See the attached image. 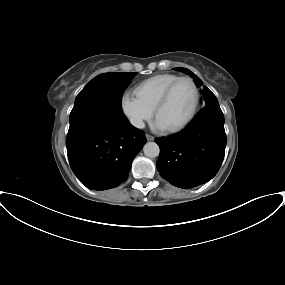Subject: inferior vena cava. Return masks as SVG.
I'll use <instances>...</instances> for the list:
<instances>
[{
	"label": "inferior vena cava",
	"mask_w": 285,
	"mask_h": 285,
	"mask_svg": "<svg viewBox=\"0 0 285 285\" xmlns=\"http://www.w3.org/2000/svg\"><path fill=\"white\" fill-rule=\"evenodd\" d=\"M131 124L137 128H144L145 124L141 119H132Z\"/></svg>",
	"instance_id": "inferior-vena-cava-1"
}]
</instances>
